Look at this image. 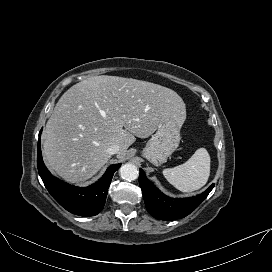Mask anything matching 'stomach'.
Here are the masks:
<instances>
[{
	"mask_svg": "<svg viewBox=\"0 0 272 272\" xmlns=\"http://www.w3.org/2000/svg\"><path fill=\"white\" fill-rule=\"evenodd\" d=\"M180 129L173 118L161 123L143 149V156L155 166L165 163L179 146Z\"/></svg>",
	"mask_w": 272,
	"mask_h": 272,
	"instance_id": "0dacf381",
	"label": "stomach"
}]
</instances>
